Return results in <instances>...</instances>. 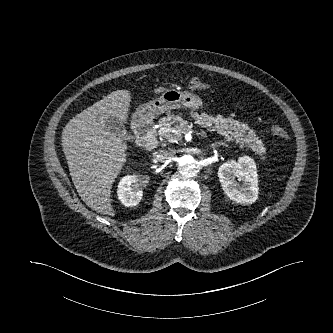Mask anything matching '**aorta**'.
<instances>
[{"label":"aorta","instance_id":"1","mask_svg":"<svg viewBox=\"0 0 333 333\" xmlns=\"http://www.w3.org/2000/svg\"><path fill=\"white\" fill-rule=\"evenodd\" d=\"M178 171L186 177L192 178L198 173V165L194 157L188 154H182L178 158Z\"/></svg>","mask_w":333,"mask_h":333}]
</instances>
